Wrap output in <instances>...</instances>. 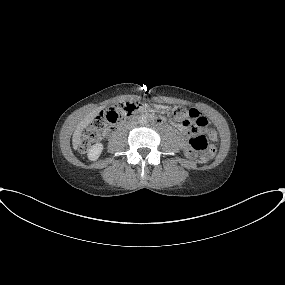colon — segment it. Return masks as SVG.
I'll return each instance as SVG.
<instances>
[{"mask_svg":"<svg viewBox=\"0 0 285 285\" xmlns=\"http://www.w3.org/2000/svg\"><path fill=\"white\" fill-rule=\"evenodd\" d=\"M142 107L140 102L137 101H123L111 107L106 113H101L97 116L90 125L84 128L76 139V145L81 152H86L90 146L109 130L110 126L116 124L124 119L127 115ZM185 111L181 108H174L173 115L176 118H182ZM194 126L190 129V134L187 143L185 144V151L188 153L200 152L201 156L199 162L206 164L212 160L216 153V148L209 144L206 135L199 133L197 127L206 124L205 118L201 115L191 119ZM189 121H183L184 126H189ZM208 135L210 138L216 136L213 129H209Z\"/></svg>","mask_w":285,"mask_h":285,"instance_id":"colon-1","label":"colon"}]
</instances>
